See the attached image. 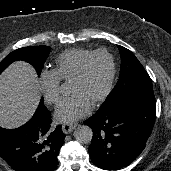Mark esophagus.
I'll list each match as a JSON object with an SVG mask.
<instances>
[{
    "label": "esophagus",
    "instance_id": "esophagus-1",
    "mask_svg": "<svg viewBox=\"0 0 171 171\" xmlns=\"http://www.w3.org/2000/svg\"><path fill=\"white\" fill-rule=\"evenodd\" d=\"M76 126H77L76 123H66V124H63L62 125V131L65 134H69V133H71L75 129Z\"/></svg>",
    "mask_w": 171,
    "mask_h": 171
}]
</instances>
